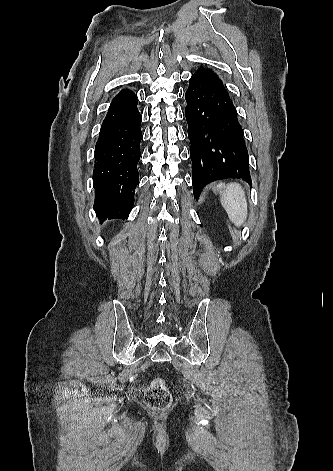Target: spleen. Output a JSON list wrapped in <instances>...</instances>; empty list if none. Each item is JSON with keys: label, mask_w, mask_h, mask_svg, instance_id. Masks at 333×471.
Instances as JSON below:
<instances>
[{"label": "spleen", "mask_w": 333, "mask_h": 471, "mask_svg": "<svg viewBox=\"0 0 333 471\" xmlns=\"http://www.w3.org/2000/svg\"><path fill=\"white\" fill-rule=\"evenodd\" d=\"M217 190L221 196V204L226 210L230 221L236 226L243 225L247 218V200L245 192L240 184L230 183L225 185L219 183Z\"/></svg>", "instance_id": "1"}]
</instances>
